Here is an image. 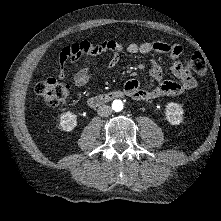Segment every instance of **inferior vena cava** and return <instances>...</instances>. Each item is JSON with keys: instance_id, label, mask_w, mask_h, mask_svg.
I'll return each mask as SVG.
<instances>
[{"instance_id": "602c4592", "label": "inferior vena cava", "mask_w": 221, "mask_h": 221, "mask_svg": "<svg viewBox=\"0 0 221 221\" xmlns=\"http://www.w3.org/2000/svg\"><path fill=\"white\" fill-rule=\"evenodd\" d=\"M97 113L100 117H108L112 113V108L104 104L97 109Z\"/></svg>"}]
</instances>
